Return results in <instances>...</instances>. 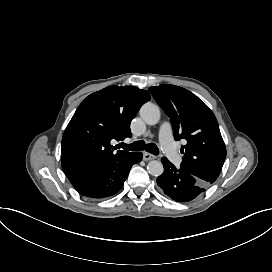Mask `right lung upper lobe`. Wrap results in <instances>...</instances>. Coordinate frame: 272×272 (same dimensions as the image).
<instances>
[{"label":"right lung upper lobe","mask_w":272,"mask_h":272,"mask_svg":"<svg viewBox=\"0 0 272 272\" xmlns=\"http://www.w3.org/2000/svg\"><path fill=\"white\" fill-rule=\"evenodd\" d=\"M150 99L134 86H109L86 97L63 134L61 164L68 177L106 166L129 152H113L111 141L131 136L130 122Z\"/></svg>","instance_id":"right-lung-upper-lobe-1"}]
</instances>
